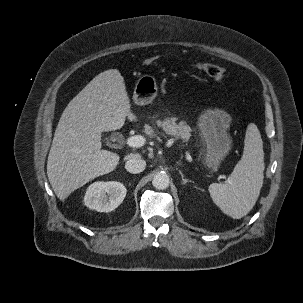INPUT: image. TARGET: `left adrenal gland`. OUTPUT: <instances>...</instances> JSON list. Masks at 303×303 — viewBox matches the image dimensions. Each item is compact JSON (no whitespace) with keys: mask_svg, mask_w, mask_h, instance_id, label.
Instances as JSON below:
<instances>
[{"mask_svg":"<svg viewBox=\"0 0 303 303\" xmlns=\"http://www.w3.org/2000/svg\"><path fill=\"white\" fill-rule=\"evenodd\" d=\"M179 173H180V175H181V178H182V184H183V185H185L187 182H191V180H189V179H185V178H184V175H183V173H182V171H181V170H179Z\"/></svg>","mask_w":303,"mask_h":303,"instance_id":"1","label":"left adrenal gland"}]
</instances>
